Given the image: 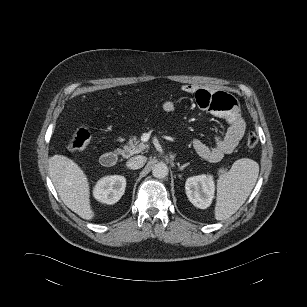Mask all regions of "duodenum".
Instances as JSON below:
<instances>
[{"label": "duodenum", "instance_id": "duodenum-1", "mask_svg": "<svg viewBox=\"0 0 307 307\" xmlns=\"http://www.w3.org/2000/svg\"><path fill=\"white\" fill-rule=\"evenodd\" d=\"M100 161L104 167L111 168L116 165L118 161V154L114 151L106 152L102 154Z\"/></svg>", "mask_w": 307, "mask_h": 307}]
</instances>
